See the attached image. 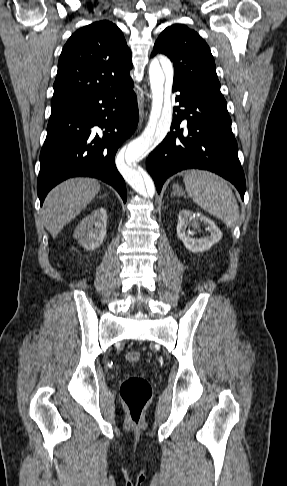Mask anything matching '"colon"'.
Segmentation results:
<instances>
[{"mask_svg":"<svg viewBox=\"0 0 287 486\" xmlns=\"http://www.w3.org/2000/svg\"><path fill=\"white\" fill-rule=\"evenodd\" d=\"M140 359L141 354L137 350H131L126 354V360L130 363H137ZM151 396V384L143 376L132 375L122 382L120 397L133 424H139Z\"/></svg>","mask_w":287,"mask_h":486,"instance_id":"1","label":"colon"}]
</instances>
